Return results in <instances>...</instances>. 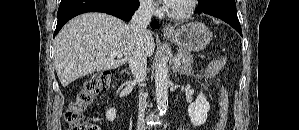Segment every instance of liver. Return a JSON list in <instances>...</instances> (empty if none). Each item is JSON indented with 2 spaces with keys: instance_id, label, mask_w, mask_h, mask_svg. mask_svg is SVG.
Segmentation results:
<instances>
[{
  "instance_id": "liver-1",
  "label": "liver",
  "mask_w": 299,
  "mask_h": 130,
  "mask_svg": "<svg viewBox=\"0 0 299 130\" xmlns=\"http://www.w3.org/2000/svg\"><path fill=\"white\" fill-rule=\"evenodd\" d=\"M136 48L128 24L105 13H85L70 20L56 36L55 70L62 86L66 87L88 74L120 67ZM140 48L146 57L154 53L150 31L145 33ZM113 51L120 52L122 57H110L108 54Z\"/></svg>"
}]
</instances>
